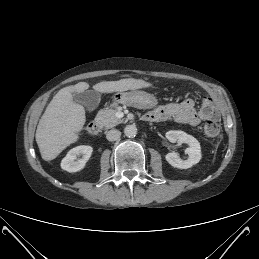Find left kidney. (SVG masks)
I'll return each mask as SVG.
<instances>
[{
  "instance_id": "5707ae66",
  "label": "left kidney",
  "mask_w": 259,
  "mask_h": 259,
  "mask_svg": "<svg viewBox=\"0 0 259 259\" xmlns=\"http://www.w3.org/2000/svg\"><path fill=\"white\" fill-rule=\"evenodd\" d=\"M166 138L172 143L178 141L180 143H185L188 145V148H186L185 150V153L188 154L187 160L180 159L178 154L175 152L168 153L165 156L166 161L171 166L179 169H188L200 161L201 147L196 138L180 130L168 131L166 133Z\"/></svg>"
}]
</instances>
